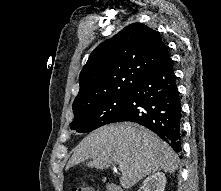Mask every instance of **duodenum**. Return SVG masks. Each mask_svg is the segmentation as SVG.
Listing matches in <instances>:
<instances>
[{
    "instance_id": "1",
    "label": "duodenum",
    "mask_w": 221,
    "mask_h": 191,
    "mask_svg": "<svg viewBox=\"0 0 221 191\" xmlns=\"http://www.w3.org/2000/svg\"><path fill=\"white\" fill-rule=\"evenodd\" d=\"M107 191H123V189L115 183H109L107 185Z\"/></svg>"
}]
</instances>
